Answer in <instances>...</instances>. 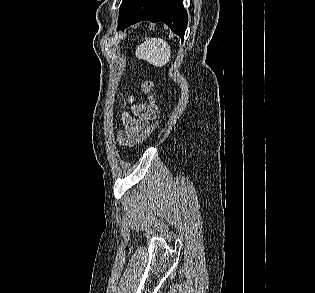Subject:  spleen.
Returning <instances> with one entry per match:
<instances>
[{"label":"spleen","instance_id":"1","mask_svg":"<svg viewBox=\"0 0 315 293\" xmlns=\"http://www.w3.org/2000/svg\"><path fill=\"white\" fill-rule=\"evenodd\" d=\"M135 55L156 67H162L169 62L171 50L163 39L151 38L138 46Z\"/></svg>","mask_w":315,"mask_h":293}]
</instances>
